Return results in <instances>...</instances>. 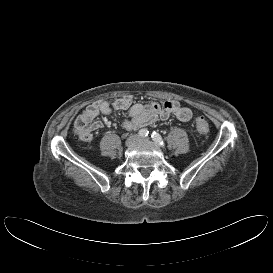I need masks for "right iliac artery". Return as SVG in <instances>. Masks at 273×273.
Masks as SVG:
<instances>
[{"label": "right iliac artery", "mask_w": 273, "mask_h": 273, "mask_svg": "<svg viewBox=\"0 0 273 273\" xmlns=\"http://www.w3.org/2000/svg\"><path fill=\"white\" fill-rule=\"evenodd\" d=\"M139 136L141 137H146L148 136L149 134V131L147 129H141L139 132H138Z\"/></svg>", "instance_id": "82829eb1"}]
</instances>
